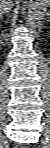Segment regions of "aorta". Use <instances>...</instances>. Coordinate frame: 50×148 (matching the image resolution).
Wrapping results in <instances>:
<instances>
[{
  "instance_id": "1",
  "label": "aorta",
  "mask_w": 50,
  "mask_h": 148,
  "mask_svg": "<svg viewBox=\"0 0 50 148\" xmlns=\"http://www.w3.org/2000/svg\"><path fill=\"white\" fill-rule=\"evenodd\" d=\"M46 0H30L27 16V26L34 30L39 25L46 10Z\"/></svg>"
}]
</instances>
